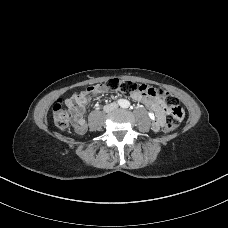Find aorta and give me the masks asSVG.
I'll return each instance as SVG.
<instances>
[{
	"mask_svg": "<svg viewBox=\"0 0 228 228\" xmlns=\"http://www.w3.org/2000/svg\"><path fill=\"white\" fill-rule=\"evenodd\" d=\"M129 106V102L128 101H126V107H128Z\"/></svg>",
	"mask_w": 228,
	"mask_h": 228,
	"instance_id": "1",
	"label": "aorta"
}]
</instances>
